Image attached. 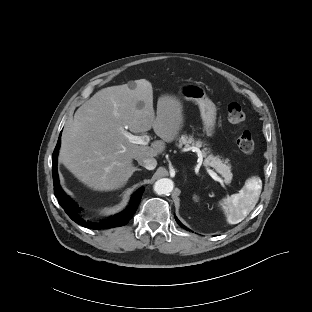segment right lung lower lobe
<instances>
[{
	"label": "right lung lower lobe",
	"mask_w": 312,
	"mask_h": 312,
	"mask_svg": "<svg viewBox=\"0 0 312 312\" xmlns=\"http://www.w3.org/2000/svg\"><path fill=\"white\" fill-rule=\"evenodd\" d=\"M60 144H61V134L59 136L56 148L52 156L53 184H54L55 196L57 197L59 204L65 210L67 215L77 224L83 227L89 228V229H94V230L114 228V227H119V226H123L127 224L128 221L134 215L140 203L141 196L144 192V188L138 189L132 195L129 206L121 213L114 215L113 217H110L108 220H105L103 222L96 223V222L86 221L80 215V208L70 197H68L65 194V192L62 190L59 184L58 172H57V156H58Z\"/></svg>",
	"instance_id": "obj_1"
}]
</instances>
